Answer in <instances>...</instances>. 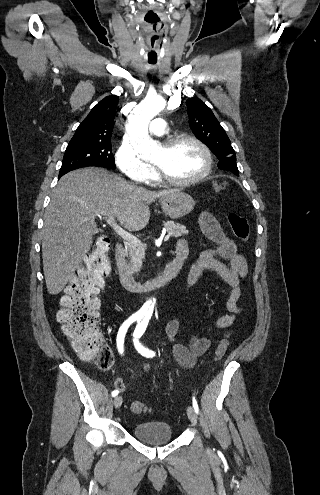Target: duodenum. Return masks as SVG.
<instances>
[{
    "label": "duodenum",
    "instance_id": "obj_1",
    "mask_svg": "<svg viewBox=\"0 0 320 495\" xmlns=\"http://www.w3.org/2000/svg\"><path fill=\"white\" fill-rule=\"evenodd\" d=\"M187 253V249L177 248L175 258L166 264L161 275L149 281L139 282L136 281L129 272L124 246L122 244H117L115 249V258L120 282L127 289L137 292H145L161 288L170 283L177 276L183 262L187 257Z\"/></svg>",
    "mask_w": 320,
    "mask_h": 495
}]
</instances>
